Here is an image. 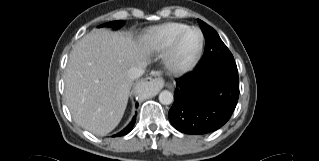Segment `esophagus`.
Instances as JSON below:
<instances>
[{"mask_svg": "<svg viewBox=\"0 0 319 161\" xmlns=\"http://www.w3.org/2000/svg\"><path fill=\"white\" fill-rule=\"evenodd\" d=\"M145 80L151 83L153 87L157 90L162 89L165 84V81L162 78L161 73L158 71L152 72L151 75L147 77Z\"/></svg>", "mask_w": 319, "mask_h": 161, "instance_id": "1", "label": "esophagus"}]
</instances>
